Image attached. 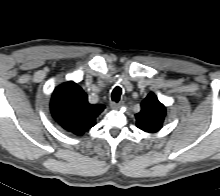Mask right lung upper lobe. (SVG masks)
Instances as JSON below:
<instances>
[{
	"mask_svg": "<svg viewBox=\"0 0 220 196\" xmlns=\"http://www.w3.org/2000/svg\"><path fill=\"white\" fill-rule=\"evenodd\" d=\"M50 108L53 118L67 131L82 135L95 125L97 116L104 110L102 104L92 105L78 84L69 81L55 88Z\"/></svg>",
	"mask_w": 220,
	"mask_h": 196,
	"instance_id": "right-lung-upper-lobe-1",
	"label": "right lung upper lobe"
}]
</instances>
